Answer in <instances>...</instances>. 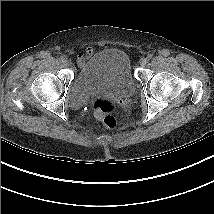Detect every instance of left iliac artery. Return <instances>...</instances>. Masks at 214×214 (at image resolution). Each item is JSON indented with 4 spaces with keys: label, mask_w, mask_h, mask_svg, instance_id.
<instances>
[{
    "label": "left iliac artery",
    "mask_w": 214,
    "mask_h": 214,
    "mask_svg": "<svg viewBox=\"0 0 214 214\" xmlns=\"http://www.w3.org/2000/svg\"><path fill=\"white\" fill-rule=\"evenodd\" d=\"M152 58V54L147 55V59L150 60Z\"/></svg>",
    "instance_id": "44dca946"
}]
</instances>
